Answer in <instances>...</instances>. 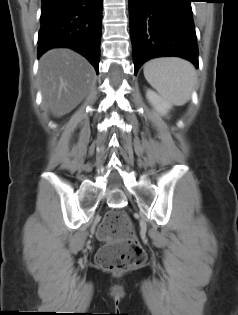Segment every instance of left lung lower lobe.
Returning a JSON list of instances; mask_svg holds the SVG:
<instances>
[{
  "label": "left lung lower lobe",
  "instance_id": "1",
  "mask_svg": "<svg viewBox=\"0 0 238 315\" xmlns=\"http://www.w3.org/2000/svg\"><path fill=\"white\" fill-rule=\"evenodd\" d=\"M192 0H129L135 74L151 58L178 56L198 67Z\"/></svg>",
  "mask_w": 238,
  "mask_h": 315
}]
</instances>
